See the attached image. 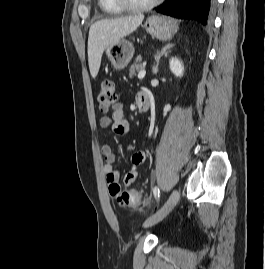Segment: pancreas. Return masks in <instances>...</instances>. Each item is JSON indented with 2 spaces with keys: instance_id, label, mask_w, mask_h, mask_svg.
Here are the masks:
<instances>
[{
  "instance_id": "cf45deb5",
  "label": "pancreas",
  "mask_w": 265,
  "mask_h": 269,
  "mask_svg": "<svg viewBox=\"0 0 265 269\" xmlns=\"http://www.w3.org/2000/svg\"><path fill=\"white\" fill-rule=\"evenodd\" d=\"M141 61H142L141 56H138L135 59V61L133 62L130 68V73H129L130 77H133L136 74V72L140 71L143 68V64L141 63Z\"/></svg>"
}]
</instances>
